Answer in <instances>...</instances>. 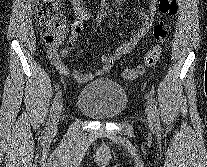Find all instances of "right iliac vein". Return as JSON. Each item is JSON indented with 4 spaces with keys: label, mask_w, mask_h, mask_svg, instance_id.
<instances>
[{
    "label": "right iliac vein",
    "mask_w": 207,
    "mask_h": 167,
    "mask_svg": "<svg viewBox=\"0 0 207 167\" xmlns=\"http://www.w3.org/2000/svg\"><path fill=\"white\" fill-rule=\"evenodd\" d=\"M62 108H63V101L60 100L57 104V107L54 111L53 117H52V123L50 126V131L54 132L57 130V126L60 120V116H61V112H62Z\"/></svg>",
    "instance_id": "1"
}]
</instances>
